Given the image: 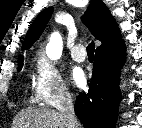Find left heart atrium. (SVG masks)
<instances>
[{
	"label": "left heart atrium",
	"instance_id": "39dd6f15",
	"mask_svg": "<svg viewBox=\"0 0 142 128\" xmlns=\"http://www.w3.org/2000/svg\"><path fill=\"white\" fill-rule=\"evenodd\" d=\"M72 79H73L74 83L77 85L84 84L85 83V75H84V72L82 71V69L75 67L72 70Z\"/></svg>",
	"mask_w": 142,
	"mask_h": 128
}]
</instances>
